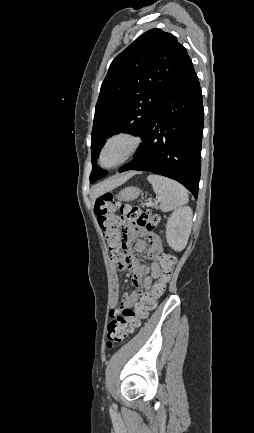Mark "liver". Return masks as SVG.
<instances>
[{"label": "liver", "mask_w": 254, "mask_h": 433, "mask_svg": "<svg viewBox=\"0 0 254 433\" xmlns=\"http://www.w3.org/2000/svg\"><path fill=\"white\" fill-rule=\"evenodd\" d=\"M135 173H128L124 176H120V177H116V178H111L108 179L104 182H101L99 184H97L96 186H94L92 188L91 191V199L95 200L98 196H100L101 194L107 192V191H111L114 188L122 185L123 183H125L130 177H132Z\"/></svg>", "instance_id": "6515ba94"}]
</instances>
